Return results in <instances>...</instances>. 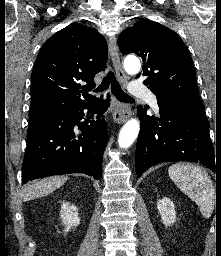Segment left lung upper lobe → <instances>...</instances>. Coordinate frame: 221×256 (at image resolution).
Segmentation results:
<instances>
[{"label":"left lung upper lobe","instance_id":"5c2ea615","mask_svg":"<svg viewBox=\"0 0 221 256\" xmlns=\"http://www.w3.org/2000/svg\"><path fill=\"white\" fill-rule=\"evenodd\" d=\"M118 45L123 54L142 58L144 84L157 99L201 102L191 55L177 33L150 20L137 21L121 33Z\"/></svg>","mask_w":221,"mask_h":256}]
</instances>
